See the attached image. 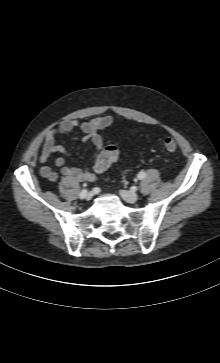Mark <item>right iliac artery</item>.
I'll return each mask as SVG.
<instances>
[{"mask_svg": "<svg viewBox=\"0 0 220 363\" xmlns=\"http://www.w3.org/2000/svg\"><path fill=\"white\" fill-rule=\"evenodd\" d=\"M86 193H87V190H86V189H83V190L80 192V194H79L80 198H81V199H83V198L85 197Z\"/></svg>", "mask_w": 220, "mask_h": 363, "instance_id": "right-iliac-artery-1", "label": "right iliac artery"}]
</instances>
